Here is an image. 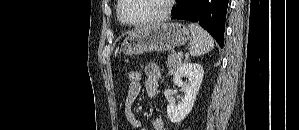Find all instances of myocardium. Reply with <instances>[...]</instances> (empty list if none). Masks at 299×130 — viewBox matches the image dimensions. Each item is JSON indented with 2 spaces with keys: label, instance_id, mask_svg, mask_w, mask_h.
Listing matches in <instances>:
<instances>
[{
  "label": "myocardium",
  "instance_id": "1",
  "mask_svg": "<svg viewBox=\"0 0 299 130\" xmlns=\"http://www.w3.org/2000/svg\"><path fill=\"white\" fill-rule=\"evenodd\" d=\"M166 1L167 2H166L165 10L158 16L151 18L149 20H146V21L131 23V22H128L127 20H125V18L123 16V8L126 3V0H119L118 12H117L118 19L123 25L132 27V28H142V27H147V26L157 24L159 22L166 20L169 17V15L171 14V11L173 9V4L175 1L174 0H166Z\"/></svg>",
  "mask_w": 299,
  "mask_h": 130
}]
</instances>
